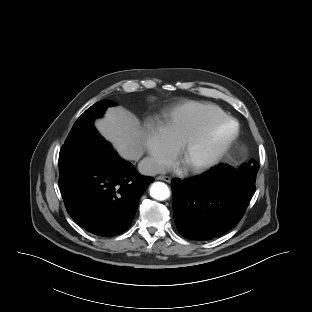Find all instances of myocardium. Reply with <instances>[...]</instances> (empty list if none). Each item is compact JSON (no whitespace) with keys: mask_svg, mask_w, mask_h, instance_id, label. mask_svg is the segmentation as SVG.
<instances>
[{"mask_svg":"<svg viewBox=\"0 0 312 312\" xmlns=\"http://www.w3.org/2000/svg\"><path fill=\"white\" fill-rule=\"evenodd\" d=\"M224 125H228L231 128L228 135L208 154L206 158L195 164L188 165L187 169L189 171L199 173L213 167L237 140L240 132L239 123L231 117L218 119L180 145L179 158L182 160L193 148L205 141L218 128Z\"/></svg>","mask_w":312,"mask_h":312,"instance_id":"1","label":"myocardium"}]
</instances>
